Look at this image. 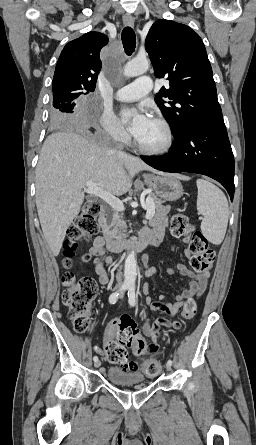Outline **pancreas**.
<instances>
[{
  "label": "pancreas",
  "instance_id": "pancreas-1",
  "mask_svg": "<svg viewBox=\"0 0 256 445\" xmlns=\"http://www.w3.org/2000/svg\"><path fill=\"white\" fill-rule=\"evenodd\" d=\"M151 200L153 201V205L155 208V217L164 219L168 213V210L163 206V201L156 196H151ZM99 224L102 228V233L107 240H120L123 238L126 223L123 220V216L118 212H113L111 215H107L106 218H103L99 221Z\"/></svg>",
  "mask_w": 256,
  "mask_h": 445
}]
</instances>
